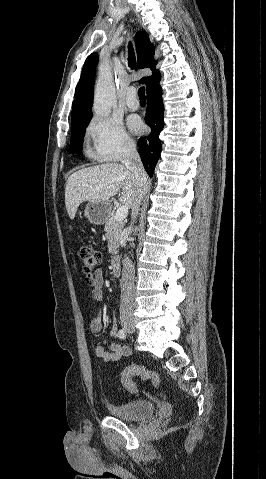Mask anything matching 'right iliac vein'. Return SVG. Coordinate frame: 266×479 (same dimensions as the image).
<instances>
[{"mask_svg": "<svg viewBox=\"0 0 266 479\" xmlns=\"http://www.w3.org/2000/svg\"><path fill=\"white\" fill-rule=\"evenodd\" d=\"M122 326L126 331L131 332V333L134 332V325H133L132 322H124L122 324Z\"/></svg>", "mask_w": 266, "mask_h": 479, "instance_id": "1", "label": "right iliac vein"}]
</instances>
